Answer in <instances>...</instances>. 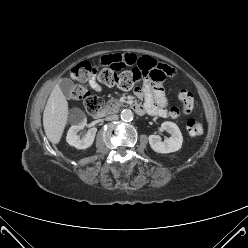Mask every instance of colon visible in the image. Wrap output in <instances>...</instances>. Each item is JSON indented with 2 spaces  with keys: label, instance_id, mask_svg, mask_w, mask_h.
I'll use <instances>...</instances> for the list:
<instances>
[{
  "label": "colon",
  "instance_id": "5ec220e1",
  "mask_svg": "<svg viewBox=\"0 0 248 248\" xmlns=\"http://www.w3.org/2000/svg\"><path fill=\"white\" fill-rule=\"evenodd\" d=\"M94 76H96L104 85H115L124 90L132 89L147 80H151L154 83H160L165 78H157L155 71L147 73L139 69L118 72L112 67H103L98 70L97 66L92 65L91 63L79 64L75 66L71 72V78L80 82H85ZM70 97L73 100L82 101L89 114L99 112L103 106V101L100 97L91 94L87 88L80 85L75 86L71 90ZM179 100L182 105V112H190L193 109L194 97L189 90L182 89L179 92ZM179 114L180 111L176 108H173L170 111L172 117H177ZM186 128L191 136L200 135L203 131L202 122L195 117L187 120Z\"/></svg>",
  "mask_w": 248,
  "mask_h": 248
}]
</instances>
